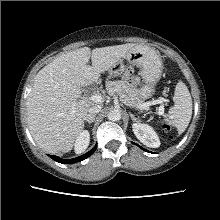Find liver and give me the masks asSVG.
I'll return each instance as SVG.
<instances>
[{"instance_id":"1","label":"liver","mask_w":220,"mask_h":220,"mask_svg":"<svg viewBox=\"0 0 220 220\" xmlns=\"http://www.w3.org/2000/svg\"><path fill=\"white\" fill-rule=\"evenodd\" d=\"M135 46L127 43L92 51L79 48L62 54L37 73L27 98V112L30 132L43 150H72L84 129L88 110L94 105L90 100L80 99V88L98 81L101 74Z\"/></svg>"}]
</instances>
